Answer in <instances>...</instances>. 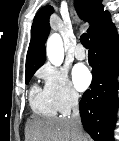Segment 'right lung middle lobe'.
Returning a JSON list of instances; mask_svg holds the SVG:
<instances>
[{
	"instance_id": "dd1d6c3e",
	"label": "right lung middle lobe",
	"mask_w": 119,
	"mask_h": 141,
	"mask_svg": "<svg viewBox=\"0 0 119 141\" xmlns=\"http://www.w3.org/2000/svg\"><path fill=\"white\" fill-rule=\"evenodd\" d=\"M34 73L35 72L25 74V82H26V84L30 81V79H31V77L33 76Z\"/></svg>"
}]
</instances>
